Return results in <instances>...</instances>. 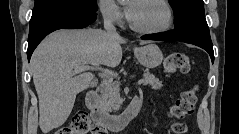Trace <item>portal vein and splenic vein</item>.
I'll return each instance as SVG.
<instances>
[{
	"mask_svg": "<svg viewBox=\"0 0 239 134\" xmlns=\"http://www.w3.org/2000/svg\"><path fill=\"white\" fill-rule=\"evenodd\" d=\"M90 69H93V67H91L89 65H77V66H75L74 71L76 73H78V72H82V71L90 70ZM104 75H109V76L117 77V74H115L114 72H112V71H110L108 69L104 70ZM142 83H144V79H140L137 82V84H139V85L142 84Z\"/></svg>",
	"mask_w": 239,
	"mask_h": 134,
	"instance_id": "portal-vein-and-splenic-vein-1",
	"label": "portal vein and splenic vein"
}]
</instances>
